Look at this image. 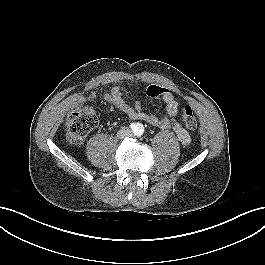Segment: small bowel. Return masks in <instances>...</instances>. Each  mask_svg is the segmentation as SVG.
Here are the masks:
<instances>
[{"mask_svg": "<svg viewBox=\"0 0 265 265\" xmlns=\"http://www.w3.org/2000/svg\"><path fill=\"white\" fill-rule=\"evenodd\" d=\"M104 96L106 100H108L112 105H114L129 118L143 121L162 129H168L172 127L177 138L182 144L187 145L190 143L191 138L188 131L178 120H175L179 114L181 103L169 89L165 88V92L161 96L163 102L165 103V114L162 116H156L154 114L144 112L142 110L141 103L138 101H136L133 106L129 105L126 102V98L129 96V93L123 86H114L110 91L106 92ZM96 98L97 94L91 93L88 97L78 95L75 101L82 104L86 100L95 101Z\"/></svg>", "mask_w": 265, "mask_h": 265, "instance_id": "obj_1", "label": "small bowel"}]
</instances>
